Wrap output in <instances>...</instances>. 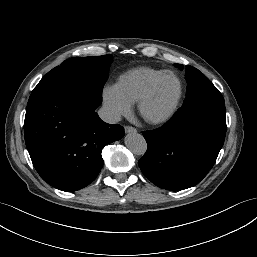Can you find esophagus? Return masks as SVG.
<instances>
[{
	"instance_id": "1",
	"label": "esophagus",
	"mask_w": 257,
	"mask_h": 257,
	"mask_svg": "<svg viewBox=\"0 0 257 257\" xmlns=\"http://www.w3.org/2000/svg\"><path fill=\"white\" fill-rule=\"evenodd\" d=\"M137 129L132 126H126L125 127V133H136Z\"/></svg>"
}]
</instances>
